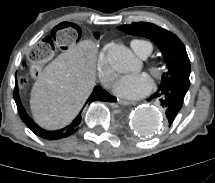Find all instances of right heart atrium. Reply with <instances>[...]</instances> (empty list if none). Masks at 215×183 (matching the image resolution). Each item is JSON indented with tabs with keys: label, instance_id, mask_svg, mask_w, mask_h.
I'll use <instances>...</instances> for the list:
<instances>
[{
	"label": "right heart atrium",
	"instance_id": "right-heart-atrium-1",
	"mask_svg": "<svg viewBox=\"0 0 215 183\" xmlns=\"http://www.w3.org/2000/svg\"><path fill=\"white\" fill-rule=\"evenodd\" d=\"M108 46H105L98 57L97 71L99 77L106 87H111L115 79V72L110 67L106 57Z\"/></svg>",
	"mask_w": 215,
	"mask_h": 183
}]
</instances>
